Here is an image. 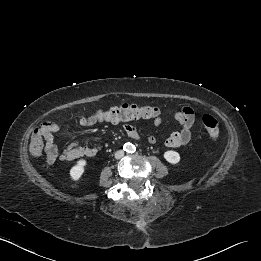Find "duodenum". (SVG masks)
Segmentation results:
<instances>
[{
    "label": "duodenum",
    "instance_id": "410a0bca",
    "mask_svg": "<svg viewBox=\"0 0 261 261\" xmlns=\"http://www.w3.org/2000/svg\"><path fill=\"white\" fill-rule=\"evenodd\" d=\"M132 138H138V134H133Z\"/></svg>",
    "mask_w": 261,
    "mask_h": 261
}]
</instances>
